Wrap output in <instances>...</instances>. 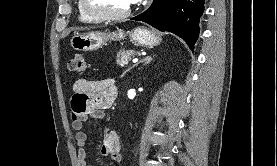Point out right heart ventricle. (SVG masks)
<instances>
[{"label": "right heart ventricle", "instance_id": "e07e8e85", "mask_svg": "<svg viewBox=\"0 0 277 166\" xmlns=\"http://www.w3.org/2000/svg\"><path fill=\"white\" fill-rule=\"evenodd\" d=\"M79 13H80V19L84 22H97L98 20H95L91 17H89L88 15H86L80 8L79 6Z\"/></svg>", "mask_w": 277, "mask_h": 166}]
</instances>
